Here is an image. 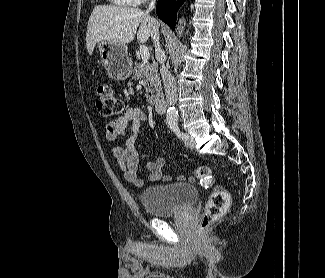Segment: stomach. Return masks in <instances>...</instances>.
Listing matches in <instances>:
<instances>
[{"label": "stomach", "mask_w": 325, "mask_h": 278, "mask_svg": "<svg viewBox=\"0 0 325 278\" xmlns=\"http://www.w3.org/2000/svg\"><path fill=\"white\" fill-rule=\"evenodd\" d=\"M102 62L110 77L115 80H125L132 73V63L128 57L126 44L107 41L97 43Z\"/></svg>", "instance_id": "0dacf381"}]
</instances>
